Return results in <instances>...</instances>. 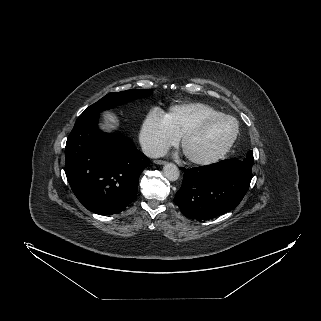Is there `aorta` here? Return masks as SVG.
<instances>
[{
	"instance_id": "aorta-1",
	"label": "aorta",
	"mask_w": 321,
	"mask_h": 321,
	"mask_svg": "<svg viewBox=\"0 0 321 321\" xmlns=\"http://www.w3.org/2000/svg\"><path fill=\"white\" fill-rule=\"evenodd\" d=\"M163 174L169 181H176L180 176V171L175 164L166 163L163 167Z\"/></svg>"
}]
</instances>
